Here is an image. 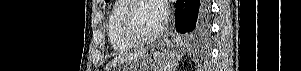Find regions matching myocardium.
Masks as SVG:
<instances>
[{"mask_svg": "<svg viewBox=\"0 0 301 71\" xmlns=\"http://www.w3.org/2000/svg\"><path fill=\"white\" fill-rule=\"evenodd\" d=\"M144 1L151 0H130L121 17V27L124 36L136 45H146L153 43L162 36L164 31V26H162L159 31L150 36H142L138 33L134 26L132 16L133 11L136 9V7ZM153 2H155V0Z\"/></svg>", "mask_w": 301, "mask_h": 71, "instance_id": "obj_1", "label": "myocardium"}]
</instances>
